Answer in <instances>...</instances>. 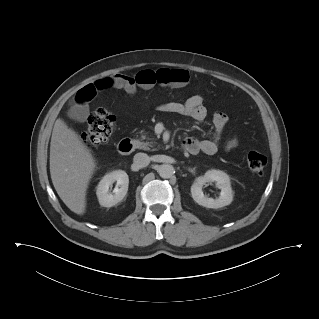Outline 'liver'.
I'll list each match as a JSON object with an SVG mask.
<instances>
[{
  "instance_id": "1",
  "label": "liver",
  "mask_w": 319,
  "mask_h": 319,
  "mask_svg": "<svg viewBox=\"0 0 319 319\" xmlns=\"http://www.w3.org/2000/svg\"><path fill=\"white\" fill-rule=\"evenodd\" d=\"M95 167L92 153L80 136L57 119L50 143L51 179L61 200L78 215L85 213L86 191Z\"/></svg>"
}]
</instances>
